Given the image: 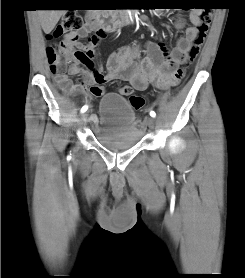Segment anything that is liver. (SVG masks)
Returning <instances> with one entry per match:
<instances>
[{
    "mask_svg": "<svg viewBox=\"0 0 245 278\" xmlns=\"http://www.w3.org/2000/svg\"><path fill=\"white\" fill-rule=\"evenodd\" d=\"M65 10H38L41 27L45 34H49L58 23Z\"/></svg>",
    "mask_w": 245,
    "mask_h": 278,
    "instance_id": "obj_1",
    "label": "liver"
}]
</instances>
